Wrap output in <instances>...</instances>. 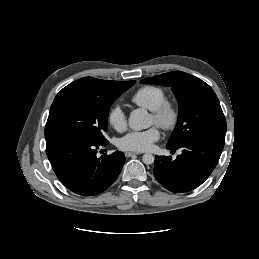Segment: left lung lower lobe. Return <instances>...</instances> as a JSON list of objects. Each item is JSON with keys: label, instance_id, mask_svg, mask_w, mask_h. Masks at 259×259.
Listing matches in <instances>:
<instances>
[{"label": "left lung lower lobe", "instance_id": "0a47b994", "mask_svg": "<svg viewBox=\"0 0 259 259\" xmlns=\"http://www.w3.org/2000/svg\"><path fill=\"white\" fill-rule=\"evenodd\" d=\"M223 147V137L203 135L190 139L179 147L182 153L175 160L156 156L154 175L159 183L172 192L191 191L209 177L219 161Z\"/></svg>", "mask_w": 259, "mask_h": 259}]
</instances>
